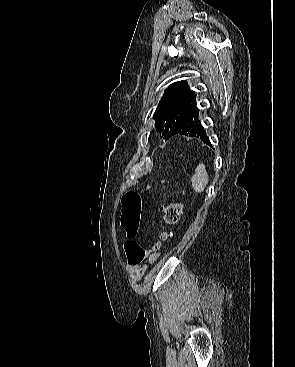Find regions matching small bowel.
<instances>
[{"instance_id": "small-bowel-1", "label": "small bowel", "mask_w": 295, "mask_h": 367, "mask_svg": "<svg viewBox=\"0 0 295 367\" xmlns=\"http://www.w3.org/2000/svg\"><path fill=\"white\" fill-rule=\"evenodd\" d=\"M145 264L132 265L128 262V271L135 281H140L146 272Z\"/></svg>"}]
</instances>
